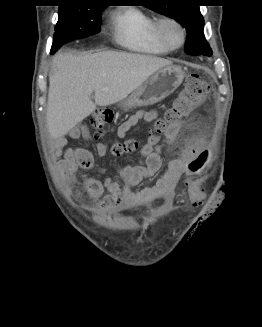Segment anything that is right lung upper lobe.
<instances>
[{
    "label": "right lung upper lobe",
    "mask_w": 262,
    "mask_h": 327,
    "mask_svg": "<svg viewBox=\"0 0 262 327\" xmlns=\"http://www.w3.org/2000/svg\"><path fill=\"white\" fill-rule=\"evenodd\" d=\"M63 3H78V2H91L99 3V0H61Z\"/></svg>",
    "instance_id": "cb5924a9"
}]
</instances>
